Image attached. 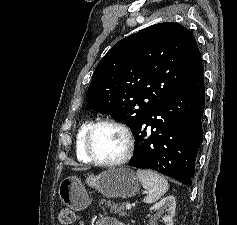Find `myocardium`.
Returning a JSON list of instances; mask_svg holds the SVG:
<instances>
[{"label": "myocardium", "mask_w": 237, "mask_h": 225, "mask_svg": "<svg viewBox=\"0 0 237 225\" xmlns=\"http://www.w3.org/2000/svg\"><path fill=\"white\" fill-rule=\"evenodd\" d=\"M102 125H111L116 128H118L124 135L125 140H126V149L123 153V155L116 159V160H111V161H105L97 158L92 150V138L95 130ZM134 137L131 132V130L122 122L117 121L112 118H103L99 119L95 122H93L90 127L88 128L86 135H85V142H84V149L86 155L89 157L91 162L100 165V166H105V167H116L125 164L132 156L133 151H134Z\"/></svg>", "instance_id": "1"}]
</instances>
